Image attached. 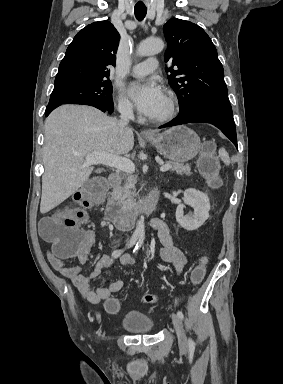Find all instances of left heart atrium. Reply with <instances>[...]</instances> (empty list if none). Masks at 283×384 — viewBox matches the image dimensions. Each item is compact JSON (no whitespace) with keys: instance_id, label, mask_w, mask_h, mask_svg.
<instances>
[{"instance_id":"left-heart-atrium-1","label":"left heart atrium","mask_w":283,"mask_h":384,"mask_svg":"<svg viewBox=\"0 0 283 384\" xmlns=\"http://www.w3.org/2000/svg\"><path fill=\"white\" fill-rule=\"evenodd\" d=\"M126 91L138 111L145 116L154 114L165 100L161 87L153 81L132 82Z\"/></svg>"}]
</instances>
